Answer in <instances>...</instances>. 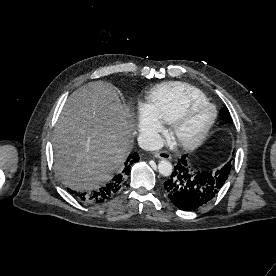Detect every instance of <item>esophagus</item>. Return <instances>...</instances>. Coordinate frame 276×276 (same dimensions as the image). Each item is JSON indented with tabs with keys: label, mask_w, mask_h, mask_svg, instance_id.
Here are the masks:
<instances>
[{
	"label": "esophagus",
	"mask_w": 276,
	"mask_h": 276,
	"mask_svg": "<svg viewBox=\"0 0 276 276\" xmlns=\"http://www.w3.org/2000/svg\"><path fill=\"white\" fill-rule=\"evenodd\" d=\"M154 156L156 158H159V159H171V156L168 152H165V151H159V152H155L154 153Z\"/></svg>",
	"instance_id": "34e87169"
}]
</instances>
